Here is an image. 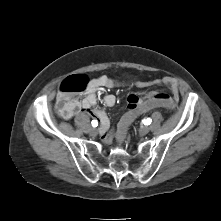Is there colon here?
I'll list each match as a JSON object with an SVG mask.
<instances>
[{"instance_id": "5ec220e1", "label": "colon", "mask_w": 221, "mask_h": 221, "mask_svg": "<svg viewBox=\"0 0 221 221\" xmlns=\"http://www.w3.org/2000/svg\"><path fill=\"white\" fill-rule=\"evenodd\" d=\"M115 78L120 82H126L129 86L137 87L141 90H147L150 87V82L147 79L133 75L128 71L118 70L115 73ZM88 84L89 81L85 75H74L62 82L56 104L57 112L61 117L68 118L72 99L75 98V94L84 91ZM159 107L175 112L179 110L180 106L178 102L170 99L166 94L156 93L153 95V99L130 107L117 122L115 132L118 135V141L120 143L127 141L129 124L134 122L137 117Z\"/></svg>"}]
</instances>
